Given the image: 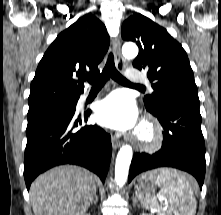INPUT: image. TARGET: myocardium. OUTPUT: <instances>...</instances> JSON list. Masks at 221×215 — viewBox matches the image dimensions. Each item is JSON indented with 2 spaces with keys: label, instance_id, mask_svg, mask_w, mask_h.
I'll return each instance as SVG.
<instances>
[{
  "label": "myocardium",
  "instance_id": "myocardium-1",
  "mask_svg": "<svg viewBox=\"0 0 221 215\" xmlns=\"http://www.w3.org/2000/svg\"><path fill=\"white\" fill-rule=\"evenodd\" d=\"M162 140V129L149 119L142 122L134 138L137 148L145 151L157 150L161 146Z\"/></svg>",
  "mask_w": 221,
  "mask_h": 215
}]
</instances>
